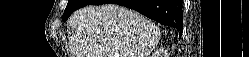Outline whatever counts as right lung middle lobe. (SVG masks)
Segmentation results:
<instances>
[{"label":"right lung middle lobe","instance_id":"obj_1","mask_svg":"<svg viewBox=\"0 0 249 57\" xmlns=\"http://www.w3.org/2000/svg\"><path fill=\"white\" fill-rule=\"evenodd\" d=\"M92 0H68L62 20L66 21L68 17L77 9L89 5Z\"/></svg>","mask_w":249,"mask_h":57}]
</instances>
